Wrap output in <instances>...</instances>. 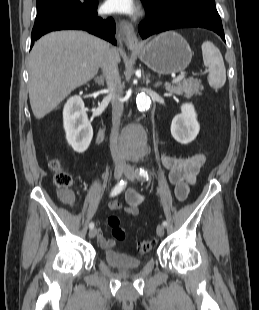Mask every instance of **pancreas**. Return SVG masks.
I'll list each match as a JSON object with an SVG mask.
<instances>
[{"label":"pancreas","mask_w":259,"mask_h":310,"mask_svg":"<svg viewBox=\"0 0 259 310\" xmlns=\"http://www.w3.org/2000/svg\"><path fill=\"white\" fill-rule=\"evenodd\" d=\"M166 90L169 93H174L179 96L191 98L193 95H201L203 86L200 79H185L179 84L166 85Z\"/></svg>","instance_id":"obj_1"}]
</instances>
